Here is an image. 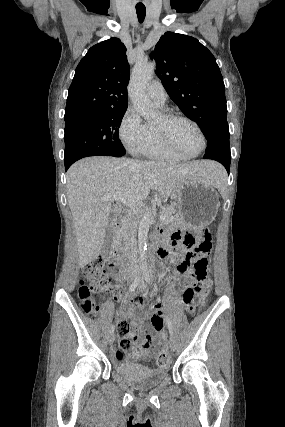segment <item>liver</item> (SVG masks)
Instances as JSON below:
<instances>
[{"mask_svg":"<svg viewBox=\"0 0 285 427\" xmlns=\"http://www.w3.org/2000/svg\"><path fill=\"white\" fill-rule=\"evenodd\" d=\"M218 169L222 167L211 161L179 164L103 156L74 163L66 175L67 199L74 219L80 267L101 253L110 214L119 212L113 201H102V197L121 194L135 202L130 208H136L150 190L167 199L188 179L213 186Z\"/></svg>","mask_w":285,"mask_h":427,"instance_id":"6515ba94","label":"liver"}]
</instances>
